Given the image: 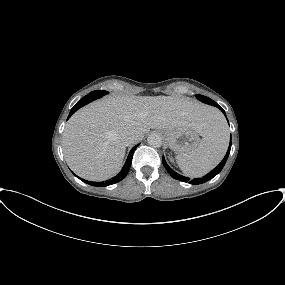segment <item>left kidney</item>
<instances>
[{
    "instance_id": "5707ae66",
    "label": "left kidney",
    "mask_w": 285,
    "mask_h": 285,
    "mask_svg": "<svg viewBox=\"0 0 285 285\" xmlns=\"http://www.w3.org/2000/svg\"><path fill=\"white\" fill-rule=\"evenodd\" d=\"M170 161H171L172 163H174V160H173L172 158H170Z\"/></svg>"
}]
</instances>
